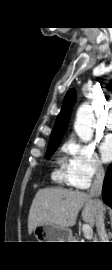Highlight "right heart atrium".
<instances>
[{"label": "right heart atrium", "mask_w": 112, "mask_h": 270, "mask_svg": "<svg viewBox=\"0 0 112 270\" xmlns=\"http://www.w3.org/2000/svg\"><path fill=\"white\" fill-rule=\"evenodd\" d=\"M63 151L66 154L63 168L72 187L86 189L93 180L104 176V166L93 145L69 139Z\"/></svg>", "instance_id": "d8ad5b80"}]
</instances>
